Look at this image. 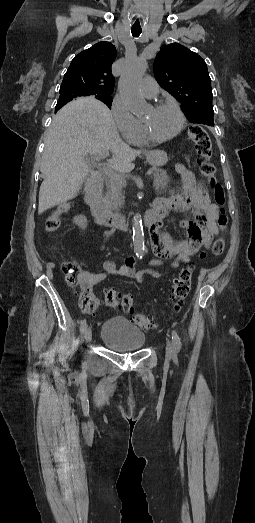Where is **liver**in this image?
Returning a JSON list of instances; mask_svg holds the SVG:
<instances>
[{
  "label": "liver",
  "mask_w": 255,
  "mask_h": 523,
  "mask_svg": "<svg viewBox=\"0 0 255 523\" xmlns=\"http://www.w3.org/2000/svg\"><path fill=\"white\" fill-rule=\"evenodd\" d=\"M113 156L110 168L119 174L132 172V164L139 156L122 142L112 114L102 102L78 98L54 116L45 140L40 172L44 174L39 190L38 214L75 198L90 170L84 160L86 154Z\"/></svg>",
  "instance_id": "1"
}]
</instances>
